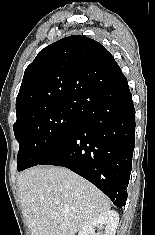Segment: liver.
Instances as JSON below:
<instances>
[{
    "label": "liver",
    "mask_w": 155,
    "mask_h": 235,
    "mask_svg": "<svg viewBox=\"0 0 155 235\" xmlns=\"http://www.w3.org/2000/svg\"><path fill=\"white\" fill-rule=\"evenodd\" d=\"M17 185L31 235H75L91 219L110 211L106 196L67 168L27 169L18 175Z\"/></svg>",
    "instance_id": "6515ba94"
}]
</instances>
